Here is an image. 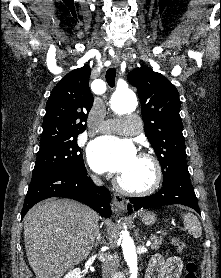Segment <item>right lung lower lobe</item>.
<instances>
[{
    "instance_id": "obj_1",
    "label": "right lung lower lobe",
    "mask_w": 221,
    "mask_h": 278,
    "mask_svg": "<svg viewBox=\"0 0 221 278\" xmlns=\"http://www.w3.org/2000/svg\"><path fill=\"white\" fill-rule=\"evenodd\" d=\"M50 197L75 199L106 218L111 216L109 191L105 187H96L87 177L86 169L82 172H56L30 183L21 218L33 205Z\"/></svg>"
}]
</instances>
